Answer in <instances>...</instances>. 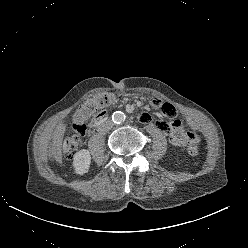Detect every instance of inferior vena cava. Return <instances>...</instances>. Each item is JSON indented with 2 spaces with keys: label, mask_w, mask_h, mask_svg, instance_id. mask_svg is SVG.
Masks as SVG:
<instances>
[{
  "label": "inferior vena cava",
  "mask_w": 248,
  "mask_h": 248,
  "mask_svg": "<svg viewBox=\"0 0 248 248\" xmlns=\"http://www.w3.org/2000/svg\"><path fill=\"white\" fill-rule=\"evenodd\" d=\"M113 127V122L112 121H106L104 122L101 126L100 129L102 131H107L110 130Z\"/></svg>",
  "instance_id": "inferior-vena-cava-1"
}]
</instances>
